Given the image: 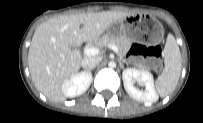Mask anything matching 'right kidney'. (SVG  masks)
I'll list each match as a JSON object with an SVG mask.
<instances>
[{"label":"right kidney","mask_w":203,"mask_h":123,"mask_svg":"<svg viewBox=\"0 0 203 123\" xmlns=\"http://www.w3.org/2000/svg\"><path fill=\"white\" fill-rule=\"evenodd\" d=\"M92 82L90 71L77 73L70 77L62 86V91L66 97L73 98L85 93Z\"/></svg>","instance_id":"ca27d5eb"}]
</instances>
